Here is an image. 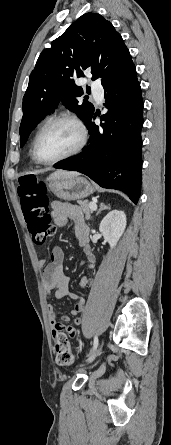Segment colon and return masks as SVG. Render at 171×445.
<instances>
[{
  "instance_id": "1",
  "label": "colon",
  "mask_w": 171,
  "mask_h": 445,
  "mask_svg": "<svg viewBox=\"0 0 171 445\" xmlns=\"http://www.w3.org/2000/svg\"><path fill=\"white\" fill-rule=\"evenodd\" d=\"M18 196L28 230L34 242L43 245L55 233L49 213L47 186L33 176H26L18 183ZM56 362L62 366H71L74 362L70 344L66 335L59 332L54 341Z\"/></svg>"
}]
</instances>
